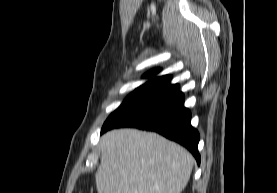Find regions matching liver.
<instances>
[{
    "instance_id": "6515ba94",
    "label": "liver",
    "mask_w": 277,
    "mask_h": 193,
    "mask_svg": "<svg viewBox=\"0 0 277 193\" xmlns=\"http://www.w3.org/2000/svg\"><path fill=\"white\" fill-rule=\"evenodd\" d=\"M100 147L98 193H181L194 165L185 148L153 132L112 130Z\"/></svg>"
}]
</instances>
